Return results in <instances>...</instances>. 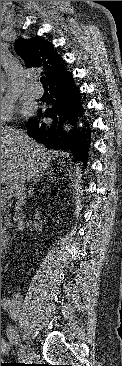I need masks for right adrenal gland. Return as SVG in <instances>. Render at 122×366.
Masks as SVG:
<instances>
[{
	"mask_svg": "<svg viewBox=\"0 0 122 366\" xmlns=\"http://www.w3.org/2000/svg\"><path fill=\"white\" fill-rule=\"evenodd\" d=\"M47 174H49V172ZM43 176L44 175H42L39 178L33 179V184H32V186H30L29 191H28V197H32L33 196L34 185H36L38 182H40L42 180V177Z\"/></svg>",
	"mask_w": 122,
	"mask_h": 366,
	"instance_id": "2a0ac1e0",
	"label": "right adrenal gland"
}]
</instances>
